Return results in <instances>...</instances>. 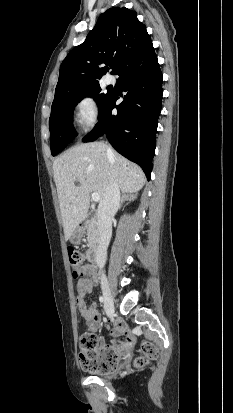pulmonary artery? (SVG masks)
<instances>
[{"label": "pulmonary artery", "instance_id": "obj_1", "mask_svg": "<svg viewBox=\"0 0 233 413\" xmlns=\"http://www.w3.org/2000/svg\"><path fill=\"white\" fill-rule=\"evenodd\" d=\"M114 77L113 76H111V75H107L106 76V78H105V82L107 83V84H113L114 83Z\"/></svg>", "mask_w": 233, "mask_h": 413}]
</instances>
